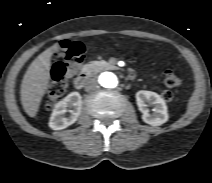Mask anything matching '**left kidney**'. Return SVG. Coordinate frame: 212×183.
<instances>
[{"label": "left kidney", "mask_w": 212, "mask_h": 183, "mask_svg": "<svg viewBox=\"0 0 212 183\" xmlns=\"http://www.w3.org/2000/svg\"><path fill=\"white\" fill-rule=\"evenodd\" d=\"M136 101L139 110L143 113L142 120L152 126H160L168 121L166 103L160 95L152 91H138ZM147 103L153 105L154 114H150Z\"/></svg>", "instance_id": "1"}]
</instances>
